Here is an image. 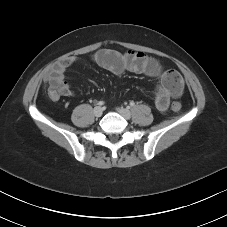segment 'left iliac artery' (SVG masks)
<instances>
[{
	"label": "left iliac artery",
	"instance_id": "1",
	"mask_svg": "<svg viewBox=\"0 0 227 227\" xmlns=\"http://www.w3.org/2000/svg\"><path fill=\"white\" fill-rule=\"evenodd\" d=\"M135 103L133 101L130 102V106H134Z\"/></svg>",
	"mask_w": 227,
	"mask_h": 227
}]
</instances>
